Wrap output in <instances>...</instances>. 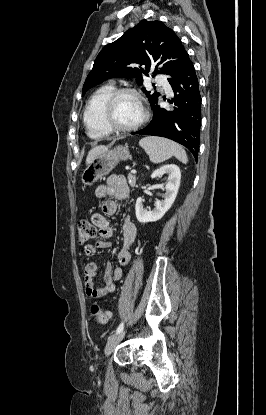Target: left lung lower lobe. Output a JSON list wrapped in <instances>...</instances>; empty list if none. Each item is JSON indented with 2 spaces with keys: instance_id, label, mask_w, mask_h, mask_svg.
Returning <instances> with one entry per match:
<instances>
[{
  "instance_id": "0a47b994",
  "label": "left lung lower lobe",
  "mask_w": 266,
  "mask_h": 415,
  "mask_svg": "<svg viewBox=\"0 0 266 415\" xmlns=\"http://www.w3.org/2000/svg\"><path fill=\"white\" fill-rule=\"evenodd\" d=\"M174 99L171 109L156 105L153 118L143 129L132 134L169 138L185 146L198 158L201 125V95L194 66L188 56L176 76L169 81Z\"/></svg>"
}]
</instances>
